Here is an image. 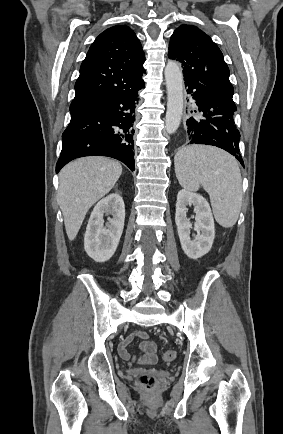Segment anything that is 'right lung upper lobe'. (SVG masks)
<instances>
[{"label": "right lung upper lobe", "mask_w": 283, "mask_h": 434, "mask_svg": "<svg viewBox=\"0 0 283 434\" xmlns=\"http://www.w3.org/2000/svg\"><path fill=\"white\" fill-rule=\"evenodd\" d=\"M144 61L140 41L129 27L117 25L102 32L81 64L70 113L138 87Z\"/></svg>", "instance_id": "obj_1"}]
</instances>
